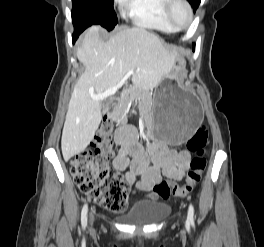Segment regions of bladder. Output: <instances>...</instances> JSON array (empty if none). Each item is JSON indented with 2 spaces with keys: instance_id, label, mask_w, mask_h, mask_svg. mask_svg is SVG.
<instances>
[{
  "instance_id": "1",
  "label": "bladder",
  "mask_w": 264,
  "mask_h": 247,
  "mask_svg": "<svg viewBox=\"0 0 264 247\" xmlns=\"http://www.w3.org/2000/svg\"><path fill=\"white\" fill-rule=\"evenodd\" d=\"M169 205L161 201L146 200L134 204L122 216L125 221L137 224H150L164 219L169 213Z\"/></svg>"
}]
</instances>
